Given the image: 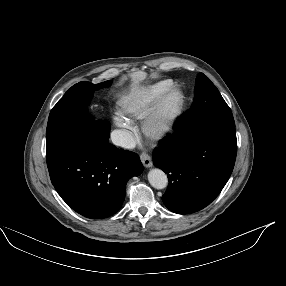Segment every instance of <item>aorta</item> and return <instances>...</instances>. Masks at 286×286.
Listing matches in <instances>:
<instances>
[{
    "mask_svg": "<svg viewBox=\"0 0 286 286\" xmlns=\"http://www.w3.org/2000/svg\"><path fill=\"white\" fill-rule=\"evenodd\" d=\"M148 181L156 189H164L168 185L167 175L160 169H151L148 173Z\"/></svg>",
    "mask_w": 286,
    "mask_h": 286,
    "instance_id": "1",
    "label": "aorta"
}]
</instances>
